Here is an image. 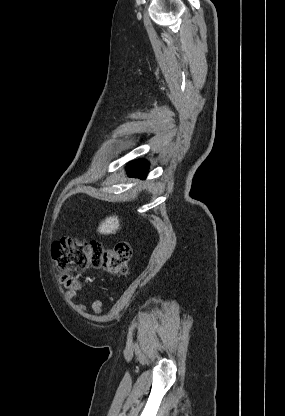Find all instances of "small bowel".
Segmentation results:
<instances>
[{
    "label": "small bowel",
    "instance_id": "obj_1",
    "mask_svg": "<svg viewBox=\"0 0 285 416\" xmlns=\"http://www.w3.org/2000/svg\"><path fill=\"white\" fill-rule=\"evenodd\" d=\"M74 294H75L74 292H71V293L67 294V299H69V300L72 299L73 296H74ZM91 307H92V310H93V312L95 314L100 315L102 313L103 304H102V301L100 299H95L92 302ZM78 309L80 311H82V312H86L87 311V308H86V306L84 304H79L78 305Z\"/></svg>",
    "mask_w": 285,
    "mask_h": 416
}]
</instances>
